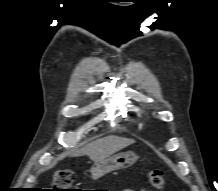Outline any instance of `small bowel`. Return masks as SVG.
<instances>
[{
  "label": "small bowel",
  "mask_w": 218,
  "mask_h": 191,
  "mask_svg": "<svg viewBox=\"0 0 218 191\" xmlns=\"http://www.w3.org/2000/svg\"><path fill=\"white\" fill-rule=\"evenodd\" d=\"M123 191H134V190H132V189H125V190H123Z\"/></svg>",
  "instance_id": "c3829d8e"
}]
</instances>
